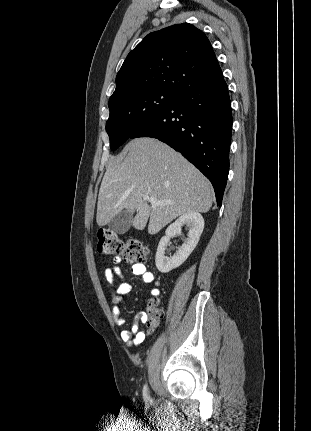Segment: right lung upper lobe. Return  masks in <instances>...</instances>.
<instances>
[{
    "mask_svg": "<svg viewBox=\"0 0 311 431\" xmlns=\"http://www.w3.org/2000/svg\"><path fill=\"white\" fill-rule=\"evenodd\" d=\"M222 73L206 35L191 24L148 34L126 57L111 98L141 90L180 94Z\"/></svg>",
    "mask_w": 311,
    "mask_h": 431,
    "instance_id": "1",
    "label": "right lung upper lobe"
}]
</instances>
